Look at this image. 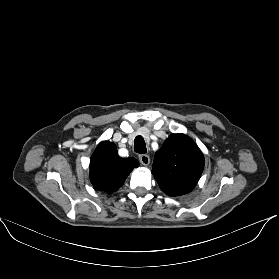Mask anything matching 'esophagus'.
<instances>
[{
	"label": "esophagus",
	"mask_w": 279,
	"mask_h": 279,
	"mask_svg": "<svg viewBox=\"0 0 279 279\" xmlns=\"http://www.w3.org/2000/svg\"><path fill=\"white\" fill-rule=\"evenodd\" d=\"M139 160L142 165L147 166L150 163V158L146 154H142L139 156Z\"/></svg>",
	"instance_id": "esophagus-1"
}]
</instances>
